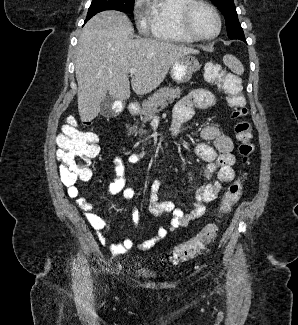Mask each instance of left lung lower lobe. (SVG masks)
Segmentation results:
<instances>
[{"instance_id":"left-lung-lower-lobe-1","label":"left lung lower lobe","mask_w":298,"mask_h":325,"mask_svg":"<svg viewBox=\"0 0 298 325\" xmlns=\"http://www.w3.org/2000/svg\"><path fill=\"white\" fill-rule=\"evenodd\" d=\"M242 41H244V42H246V39H245V37L243 38V39H241Z\"/></svg>"}]
</instances>
